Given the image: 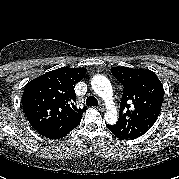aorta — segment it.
Masks as SVG:
<instances>
[{
    "label": "aorta",
    "instance_id": "obj_1",
    "mask_svg": "<svg viewBox=\"0 0 179 179\" xmlns=\"http://www.w3.org/2000/svg\"><path fill=\"white\" fill-rule=\"evenodd\" d=\"M91 86L94 92L108 104V110L105 113L106 122L115 124L118 116L116 107L111 105L113 100V90L110 81L103 75H96L91 80Z\"/></svg>",
    "mask_w": 179,
    "mask_h": 179
}]
</instances>
